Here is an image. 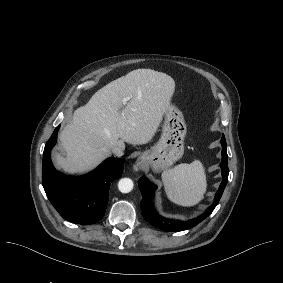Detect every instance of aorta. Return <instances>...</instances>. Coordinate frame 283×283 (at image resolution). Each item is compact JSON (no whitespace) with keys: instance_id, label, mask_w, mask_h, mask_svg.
<instances>
[{"instance_id":"obj_1","label":"aorta","mask_w":283,"mask_h":283,"mask_svg":"<svg viewBox=\"0 0 283 283\" xmlns=\"http://www.w3.org/2000/svg\"><path fill=\"white\" fill-rule=\"evenodd\" d=\"M134 183L130 178H122L118 182V189L122 193H129L133 189Z\"/></svg>"}]
</instances>
